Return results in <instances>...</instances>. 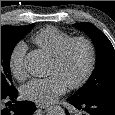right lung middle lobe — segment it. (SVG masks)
Masks as SVG:
<instances>
[{
	"label": "right lung middle lobe",
	"instance_id": "obj_1",
	"mask_svg": "<svg viewBox=\"0 0 115 115\" xmlns=\"http://www.w3.org/2000/svg\"><path fill=\"white\" fill-rule=\"evenodd\" d=\"M34 24L28 26H1V93L15 87L11 81L10 57L17 42L27 35Z\"/></svg>",
	"mask_w": 115,
	"mask_h": 115
}]
</instances>
